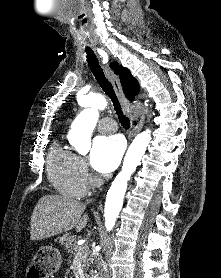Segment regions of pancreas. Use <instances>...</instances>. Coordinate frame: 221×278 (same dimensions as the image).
<instances>
[{
	"mask_svg": "<svg viewBox=\"0 0 221 278\" xmlns=\"http://www.w3.org/2000/svg\"><path fill=\"white\" fill-rule=\"evenodd\" d=\"M56 241H58L61 245L65 247L70 259L76 256L78 252H81L82 269L84 270L85 277H87V271L93 263V257L88 246H77L76 237L68 236L67 234L58 237Z\"/></svg>",
	"mask_w": 221,
	"mask_h": 278,
	"instance_id": "cf45deb5",
	"label": "pancreas"
}]
</instances>
